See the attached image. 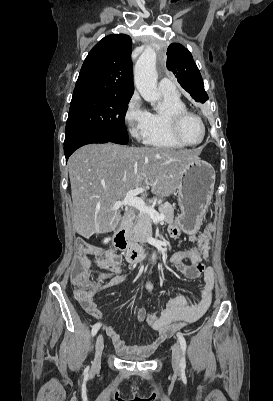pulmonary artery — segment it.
<instances>
[{
  "label": "pulmonary artery",
  "mask_w": 273,
  "mask_h": 401,
  "mask_svg": "<svg viewBox=\"0 0 273 401\" xmlns=\"http://www.w3.org/2000/svg\"><path fill=\"white\" fill-rule=\"evenodd\" d=\"M160 86L161 93L165 95L175 94L177 91L175 83L170 80H162Z\"/></svg>",
  "instance_id": "e3ab8cb5"
}]
</instances>
